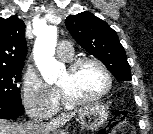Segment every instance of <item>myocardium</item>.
<instances>
[{"label":"myocardium","mask_w":153,"mask_h":134,"mask_svg":"<svg viewBox=\"0 0 153 134\" xmlns=\"http://www.w3.org/2000/svg\"><path fill=\"white\" fill-rule=\"evenodd\" d=\"M86 63H91L96 65L101 72L103 73L105 79H106V86L105 88L99 92L96 95L90 96V97H77L73 94L70 93L68 89L62 86H58V90L60 93V96L65 104L68 105H82L90 102L97 101L107 95L112 87H113V77L108 70V68L105 66L103 62H101L99 59L94 58V57H81L78 59L73 60L72 62L69 63L67 69L70 73L75 72L80 66L86 64Z\"/></svg>","instance_id":"myocardium-1"}]
</instances>
